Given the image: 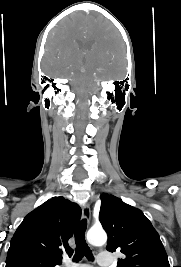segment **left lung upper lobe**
<instances>
[{"mask_svg":"<svg viewBox=\"0 0 181 267\" xmlns=\"http://www.w3.org/2000/svg\"><path fill=\"white\" fill-rule=\"evenodd\" d=\"M100 198L99 220L108 234L106 249L125 255L117 267H170L158 233L141 210L107 193Z\"/></svg>","mask_w":181,"mask_h":267,"instance_id":"obj_1","label":"left lung upper lobe"}]
</instances>
